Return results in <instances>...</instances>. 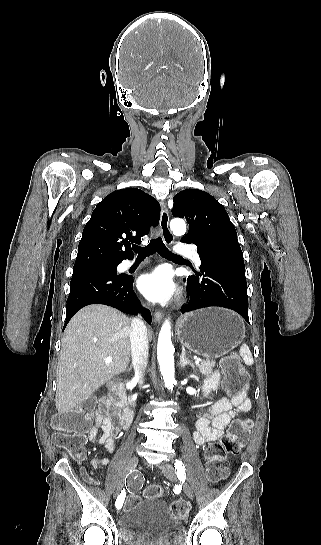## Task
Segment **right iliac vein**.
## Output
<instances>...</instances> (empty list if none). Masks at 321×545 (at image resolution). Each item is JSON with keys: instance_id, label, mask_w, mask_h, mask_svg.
<instances>
[{"instance_id": "63e3f726", "label": "right iliac vein", "mask_w": 321, "mask_h": 545, "mask_svg": "<svg viewBox=\"0 0 321 545\" xmlns=\"http://www.w3.org/2000/svg\"><path fill=\"white\" fill-rule=\"evenodd\" d=\"M138 462H139V459H138L137 456H133L132 458H130V460H129L128 464H127L126 473L129 472V471L134 470L137 467ZM124 484H125V481H124V478H122L119 481V483H118V485H117V487L115 489L114 497H117L120 494V492L122 491V489L124 487Z\"/></svg>"}]
</instances>
